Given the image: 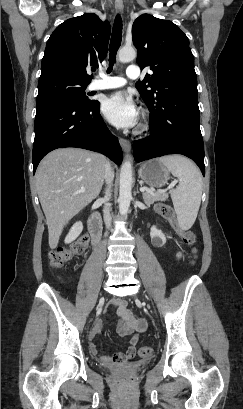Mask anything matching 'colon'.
Here are the masks:
<instances>
[{
	"mask_svg": "<svg viewBox=\"0 0 243 409\" xmlns=\"http://www.w3.org/2000/svg\"><path fill=\"white\" fill-rule=\"evenodd\" d=\"M155 210L158 214H160L163 218L168 220L170 224L176 228L179 232L182 241L189 246H193L195 243V234L191 230H180L177 220L176 214L170 205L167 204H157ZM88 243V239L86 236L80 237L75 243H73L70 247L66 248H58L54 250L50 254V266L53 269H60L65 264H67L74 256L80 255L86 249ZM140 357L144 359H149L152 354L153 350L150 347H141L138 351Z\"/></svg>",
	"mask_w": 243,
	"mask_h": 409,
	"instance_id": "colon-1",
	"label": "colon"
}]
</instances>
